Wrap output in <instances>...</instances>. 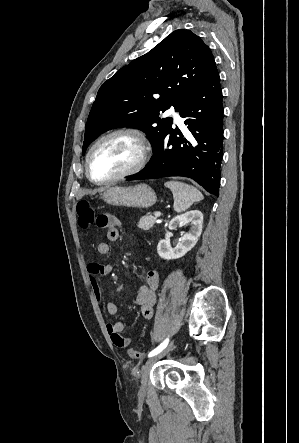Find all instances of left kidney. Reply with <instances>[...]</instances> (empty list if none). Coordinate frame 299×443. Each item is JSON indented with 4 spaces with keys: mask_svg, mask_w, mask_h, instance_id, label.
Segmentation results:
<instances>
[{
    "mask_svg": "<svg viewBox=\"0 0 299 443\" xmlns=\"http://www.w3.org/2000/svg\"><path fill=\"white\" fill-rule=\"evenodd\" d=\"M186 224H190V231L181 237L180 243L175 248L171 247L170 241L167 239L159 241L157 252L161 258L165 260L181 258L196 245L203 228L202 212L191 210L176 216L169 222L168 227L170 230H175Z\"/></svg>",
    "mask_w": 299,
    "mask_h": 443,
    "instance_id": "left-kidney-1",
    "label": "left kidney"
}]
</instances>
